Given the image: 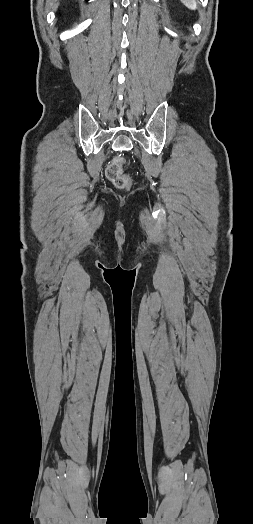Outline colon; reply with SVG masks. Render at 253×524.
Masks as SVG:
<instances>
[{"instance_id":"5ec220e1","label":"colon","mask_w":253,"mask_h":524,"mask_svg":"<svg viewBox=\"0 0 253 524\" xmlns=\"http://www.w3.org/2000/svg\"><path fill=\"white\" fill-rule=\"evenodd\" d=\"M125 160L122 157L114 158L106 168L107 178L119 189L129 188L131 178L124 173Z\"/></svg>"}]
</instances>
